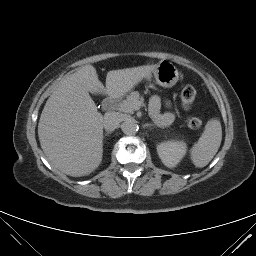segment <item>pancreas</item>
Masks as SVG:
<instances>
[{"mask_svg":"<svg viewBox=\"0 0 256 256\" xmlns=\"http://www.w3.org/2000/svg\"><path fill=\"white\" fill-rule=\"evenodd\" d=\"M140 94L135 91L126 97L125 100L117 105V109L124 113H133L136 106L139 104Z\"/></svg>","mask_w":256,"mask_h":256,"instance_id":"cf45deb5","label":"pancreas"}]
</instances>
